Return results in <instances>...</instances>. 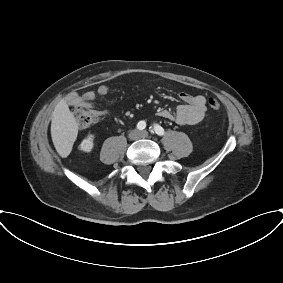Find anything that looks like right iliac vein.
<instances>
[{
  "instance_id": "right-iliac-vein-1",
  "label": "right iliac vein",
  "mask_w": 283,
  "mask_h": 283,
  "mask_svg": "<svg viewBox=\"0 0 283 283\" xmlns=\"http://www.w3.org/2000/svg\"><path fill=\"white\" fill-rule=\"evenodd\" d=\"M128 137L132 141L138 140L140 138V132L138 130H132Z\"/></svg>"
}]
</instances>
